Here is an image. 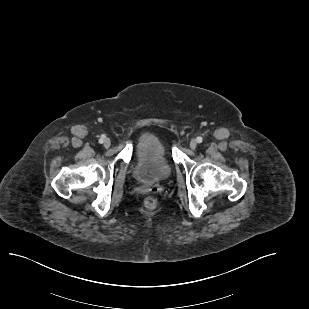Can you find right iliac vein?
<instances>
[{
  "label": "right iliac vein",
  "mask_w": 309,
  "mask_h": 309,
  "mask_svg": "<svg viewBox=\"0 0 309 309\" xmlns=\"http://www.w3.org/2000/svg\"><path fill=\"white\" fill-rule=\"evenodd\" d=\"M110 145H111L110 139H109V138H105V139L103 140V146H104L105 148H108V147H110Z\"/></svg>",
  "instance_id": "right-iliac-vein-1"
}]
</instances>
